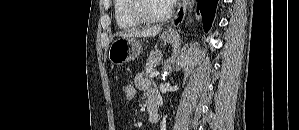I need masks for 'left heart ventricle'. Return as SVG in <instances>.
Instances as JSON below:
<instances>
[{"instance_id": "obj_1", "label": "left heart ventricle", "mask_w": 299, "mask_h": 130, "mask_svg": "<svg viewBox=\"0 0 299 130\" xmlns=\"http://www.w3.org/2000/svg\"><path fill=\"white\" fill-rule=\"evenodd\" d=\"M146 10L154 16H161L167 13L168 3L164 0H149L145 3Z\"/></svg>"}]
</instances>
